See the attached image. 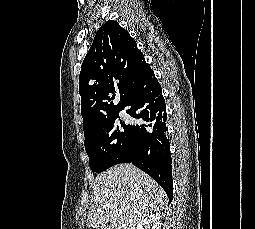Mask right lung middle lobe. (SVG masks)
Listing matches in <instances>:
<instances>
[{"label":"right lung middle lobe","mask_w":255,"mask_h":229,"mask_svg":"<svg viewBox=\"0 0 255 229\" xmlns=\"http://www.w3.org/2000/svg\"><path fill=\"white\" fill-rule=\"evenodd\" d=\"M120 112V111H119ZM119 112L103 122L84 141L92 171L100 173L129 159L133 153L131 125L119 120Z\"/></svg>","instance_id":"dd1d6c3e"}]
</instances>
